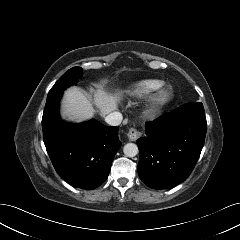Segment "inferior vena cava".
Returning a JSON list of instances; mask_svg holds the SVG:
<instances>
[{"label": "inferior vena cava", "instance_id": "1", "mask_svg": "<svg viewBox=\"0 0 240 240\" xmlns=\"http://www.w3.org/2000/svg\"><path fill=\"white\" fill-rule=\"evenodd\" d=\"M123 116L120 112L114 111L105 117V122L112 126H118L121 124Z\"/></svg>", "mask_w": 240, "mask_h": 240}]
</instances>
